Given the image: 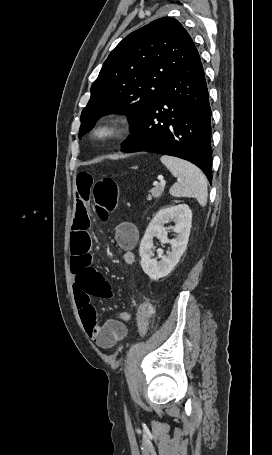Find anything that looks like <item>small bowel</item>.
<instances>
[{"label": "small bowel", "mask_w": 272, "mask_h": 455, "mask_svg": "<svg viewBox=\"0 0 272 455\" xmlns=\"http://www.w3.org/2000/svg\"><path fill=\"white\" fill-rule=\"evenodd\" d=\"M95 185L93 174L81 171L75 177L76 211L71 231V272L74 276V295L84 328L89 337L101 348L108 349L127 335L126 323L131 319L121 312L108 319L103 325L97 322V311L92 299H109L113 290L103 275L93 266L91 254V221L89 202ZM137 227L128 221L120 222L115 228V239L122 249L126 265L136 261L134 248L138 241Z\"/></svg>", "instance_id": "1"}]
</instances>
